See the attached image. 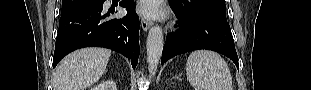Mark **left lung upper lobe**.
<instances>
[{
	"label": "left lung upper lobe",
	"mask_w": 311,
	"mask_h": 90,
	"mask_svg": "<svg viewBox=\"0 0 311 90\" xmlns=\"http://www.w3.org/2000/svg\"><path fill=\"white\" fill-rule=\"evenodd\" d=\"M169 3L183 15H207L227 22L224 0H169Z\"/></svg>",
	"instance_id": "1"
}]
</instances>
